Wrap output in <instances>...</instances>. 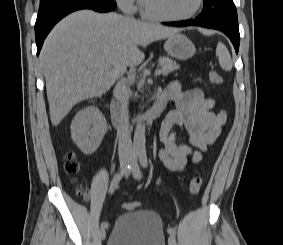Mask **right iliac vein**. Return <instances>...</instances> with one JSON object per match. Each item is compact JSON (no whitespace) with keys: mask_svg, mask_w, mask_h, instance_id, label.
I'll return each instance as SVG.
<instances>
[{"mask_svg":"<svg viewBox=\"0 0 283 245\" xmlns=\"http://www.w3.org/2000/svg\"><path fill=\"white\" fill-rule=\"evenodd\" d=\"M129 158L127 156H124L120 159V170L122 171L127 164L129 163ZM99 236L102 240H104L106 238V230L105 228H101L100 232H99Z\"/></svg>","mask_w":283,"mask_h":245,"instance_id":"right-iliac-vein-1","label":"right iliac vein"}]
</instances>
